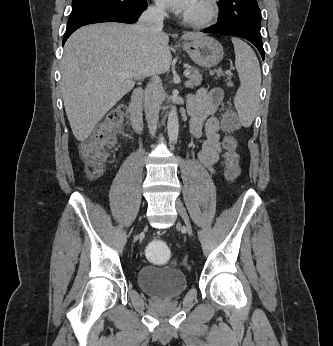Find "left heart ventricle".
<instances>
[{
    "label": "left heart ventricle",
    "mask_w": 333,
    "mask_h": 346,
    "mask_svg": "<svg viewBox=\"0 0 333 346\" xmlns=\"http://www.w3.org/2000/svg\"><path fill=\"white\" fill-rule=\"evenodd\" d=\"M203 10H204V6L201 0H195L187 13H201L203 12Z\"/></svg>",
    "instance_id": "obj_1"
}]
</instances>
